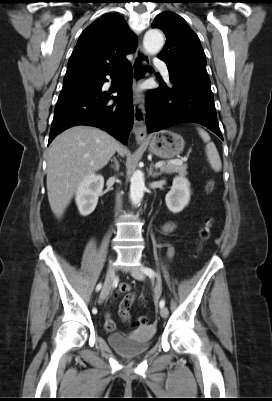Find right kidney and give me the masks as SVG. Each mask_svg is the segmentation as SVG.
<instances>
[{
    "label": "right kidney",
    "mask_w": 272,
    "mask_h": 401,
    "mask_svg": "<svg viewBox=\"0 0 272 401\" xmlns=\"http://www.w3.org/2000/svg\"><path fill=\"white\" fill-rule=\"evenodd\" d=\"M104 178L102 175L90 174L79 184L76 191V204L82 216L91 214L98 203V198L102 194Z\"/></svg>",
    "instance_id": "obj_1"
}]
</instances>
